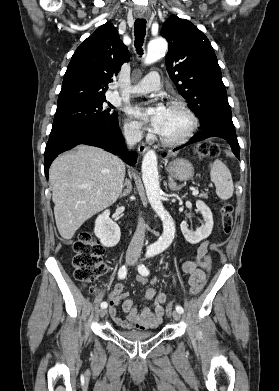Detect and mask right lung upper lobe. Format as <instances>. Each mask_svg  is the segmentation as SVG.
Listing matches in <instances>:
<instances>
[{"mask_svg": "<svg viewBox=\"0 0 279 391\" xmlns=\"http://www.w3.org/2000/svg\"><path fill=\"white\" fill-rule=\"evenodd\" d=\"M130 58L112 23H106L75 51L64 75L57 109L76 103L105 99L108 83Z\"/></svg>", "mask_w": 279, "mask_h": 391, "instance_id": "right-lung-upper-lobe-1", "label": "right lung upper lobe"}]
</instances>
